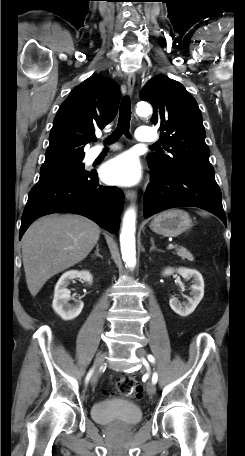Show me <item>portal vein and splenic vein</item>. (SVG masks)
<instances>
[{"label": "portal vein and splenic vein", "instance_id": "18ae733b", "mask_svg": "<svg viewBox=\"0 0 245 456\" xmlns=\"http://www.w3.org/2000/svg\"><path fill=\"white\" fill-rule=\"evenodd\" d=\"M177 247H178L177 244H169L167 248H168V249H175V248H177Z\"/></svg>", "mask_w": 245, "mask_h": 456}]
</instances>
